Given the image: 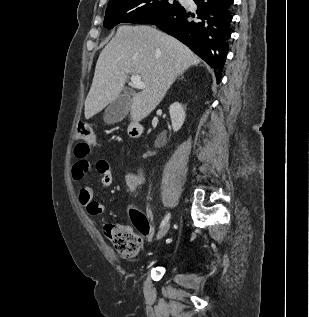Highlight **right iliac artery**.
<instances>
[{"label": "right iliac artery", "instance_id": "1", "mask_svg": "<svg viewBox=\"0 0 309 317\" xmlns=\"http://www.w3.org/2000/svg\"><path fill=\"white\" fill-rule=\"evenodd\" d=\"M170 219V213H167L164 219L162 220L160 227H163Z\"/></svg>", "mask_w": 309, "mask_h": 317}]
</instances>
